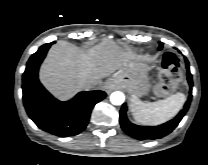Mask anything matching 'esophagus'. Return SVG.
I'll list each match as a JSON object with an SVG mask.
<instances>
[{
	"label": "esophagus",
	"instance_id": "1",
	"mask_svg": "<svg viewBox=\"0 0 208 165\" xmlns=\"http://www.w3.org/2000/svg\"><path fill=\"white\" fill-rule=\"evenodd\" d=\"M105 87L107 92H111L114 90V85L111 82H107Z\"/></svg>",
	"mask_w": 208,
	"mask_h": 165
}]
</instances>
